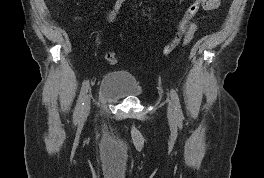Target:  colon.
<instances>
[{
    "label": "colon",
    "mask_w": 264,
    "mask_h": 178,
    "mask_svg": "<svg viewBox=\"0 0 264 178\" xmlns=\"http://www.w3.org/2000/svg\"><path fill=\"white\" fill-rule=\"evenodd\" d=\"M207 0H192L188 7L182 13L174 38L172 41L164 48V53L169 54L175 47L181 44L188 43L193 37L196 26L194 25V19L201 8L207 6ZM105 60L107 63L114 65L118 62L117 55L114 52H107L105 55Z\"/></svg>",
    "instance_id": "5ec220e1"
}]
</instances>
